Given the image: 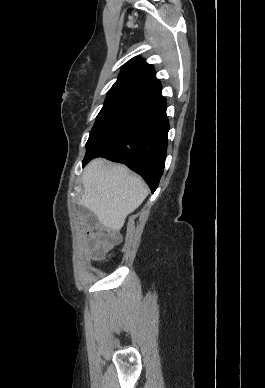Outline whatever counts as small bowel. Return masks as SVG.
I'll list each match as a JSON object with an SVG mask.
<instances>
[{
    "label": "small bowel",
    "instance_id": "1",
    "mask_svg": "<svg viewBox=\"0 0 265 388\" xmlns=\"http://www.w3.org/2000/svg\"><path fill=\"white\" fill-rule=\"evenodd\" d=\"M86 225L91 231L100 229L101 224L93 217H87ZM119 239L118 233L114 227L108 229V234L103 239H97L89 244L91 256L94 259L101 258L110 249V247Z\"/></svg>",
    "mask_w": 265,
    "mask_h": 388
}]
</instances>
